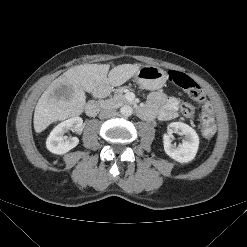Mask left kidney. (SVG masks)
<instances>
[{
  "label": "left kidney",
  "instance_id": "1",
  "mask_svg": "<svg viewBox=\"0 0 247 247\" xmlns=\"http://www.w3.org/2000/svg\"><path fill=\"white\" fill-rule=\"evenodd\" d=\"M180 133L184 140L178 146L173 145L170 139L172 133ZM164 150L166 154L180 163L193 160L199 147V137L196 131L189 125L182 122H172L167 128V134L163 136Z\"/></svg>",
  "mask_w": 247,
  "mask_h": 247
}]
</instances>
